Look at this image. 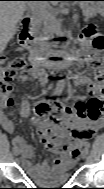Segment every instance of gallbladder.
I'll use <instances>...</instances> for the list:
<instances>
[{"instance_id": "obj_1", "label": "gallbladder", "mask_w": 104, "mask_h": 189, "mask_svg": "<svg viewBox=\"0 0 104 189\" xmlns=\"http://www.w3.org/2000/svg\"><path fill=\"white\" fill-rule=\"evenodd\" d=\"M27 6H28L27 8L31 7V5H30V4H28Z\"/></svg>"}]
</instances>
